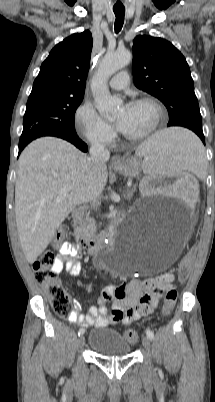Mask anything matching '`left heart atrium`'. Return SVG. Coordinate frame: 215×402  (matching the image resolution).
I'll return each mask as SVG.
<instances>
[{
  "instance_id": "1",
  "label": "left heart atrium",
  "mask_w": 215,
  "mask_h": 402,
  "mask_svg": "<svg viewBox=\"0 0 215 402\" xmlns=\"http://www.w3.org/2000/svg\"><path fill=\"white\" fill-rule=\"evenodd\" d=\"M117 128L124 132L127 128V113L124 112L123 115L117 121Z\"/></svg>"
}]
</instances>
